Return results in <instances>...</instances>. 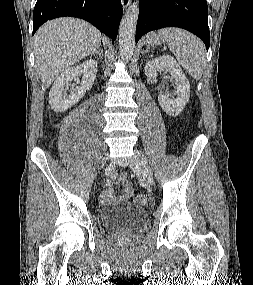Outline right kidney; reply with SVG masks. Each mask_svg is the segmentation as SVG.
Returning <instances> with one entry per match:
<instances>
[{
  "label": "right kidney",
  "instance_id": "1",
  "mask_svg": "<svg viewBox=\"0 0 253 285\" xmlns=\"http://www.w3.org/2000/svg\"><path fill=\"white\" fill-rule=\"evenodd\" d=\"M97 61L87 60L80 65L68 68L63 71L54 81V84L49 93V104L53 111L59 113L64 112L79 102L85 95L86 90H89L96 77ZM81 74L83 78L80 86L72 87L70 94L65 95V91L74 79H78Z\"/></svg>",
  "mask_w": 253,
  "mask_h": 285
}]
</instances>
